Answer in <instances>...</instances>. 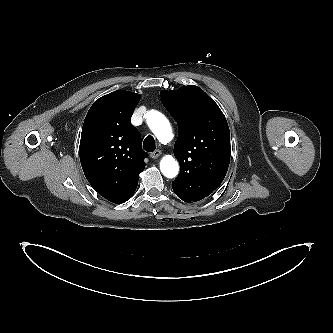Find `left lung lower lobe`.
I'll return each instance as SVG.
<instances>
[{
    "instance_id": "1",
    "label": "left lung lower lobe",
    "mask_w": 333,
    "mask_h": 333,
    "mask_svg": "<svg viewBox=\"0 0 333 333\" xmlns=\"http://www.w3.org/2000/svg\"><path fill=\"white\" fill-rule=\"evenodd\" d=\"M183 201H185V202H188V203H192L193 201H191V200H189V199H187V198H181Z\"/></svg>"
}]
</instances>
